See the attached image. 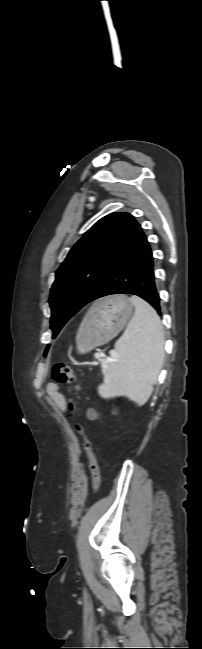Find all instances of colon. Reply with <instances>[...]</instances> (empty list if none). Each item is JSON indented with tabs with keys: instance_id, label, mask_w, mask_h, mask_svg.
<instances>
[{
	"instance_id": "obj_1",
	"label": "colon",
	"mask_w": 202,
	"mask_h": 649,
	"mask_svg": "<svg viewBox=\"0 0 202 649\" xmlns=\"http://www.w3.org/2000/svg\"><path fill=\"white\" fill-rule=\"evenodd\" d=\"M52 380L58 384L69 385L71 392L78 391L79 387L75 384V374L73 369L65 363L55 364L51 374ZM69 410L72 414L78 411V403L75 400L69 402ZM77 430L85 438V448L89 455L91 472H92V490L95 492L99 485L100 480V467L97 456L93 450L92 442L86 435V426L83 422L77 423Z\"/></svg>"
}]
</instances>
